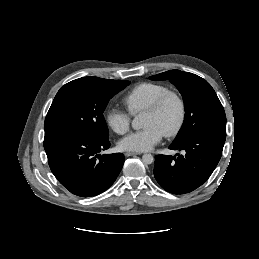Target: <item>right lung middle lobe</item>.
<instances>
[{
    "instance_id": "right-lung-middle-lobe-1",
    "label": "right lung middle lobe",
    "mask_w": 259,
    "mask_h": 259,
    "mask_svg": "<svg viewBox=\"0 0 259 259\" xmlns=\"http://www.w3.org/2000/svg\"><path fill=\"white\" fill-rule=\"evenodd\" d=\"M130 81L83 77L65 84L47 113L45 135L78 132L108 139L103 112L108 101Z\"/></svg>"
}]
</instances>
